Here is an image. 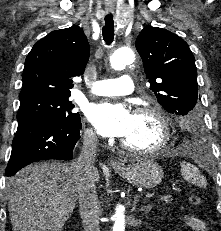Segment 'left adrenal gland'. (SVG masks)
<instances>
[{
  "instance_id": "1",
  "label": "left adrenal gland",
  "mask_w": 221,
  "mask_h": 231,
  "mask_svg": "<svg viewBox=\"0 0 221 231\" xmlns=\"http://www.w3.org/2000/svg\"><path fill=\"white\" fill-rule=\"evenodd\" d=\"M138 202V197H135L134 202H133V209H136V204ZM152 206H144L140 208V211H145V212H149L151 210Z\"/></svg>"
}]
</instances>
